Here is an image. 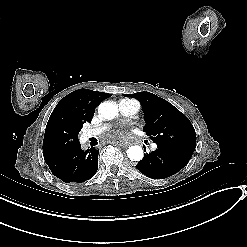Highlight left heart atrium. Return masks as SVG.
Listing matches in <instances>:
<instances>
[{
  "instance_id": "left-heart-atrium-1",
  "label": "left heart atrium",
  "mask_w": 247,
  "mask_h": 247,
  "mask_svg": "<svg viewBox=\"0 0 247 247\" xmlns=\"http://www.w3.org/2000/svg\"><path fill=\"white\" fill-rule=\"evenodd\" d=\"M135 133L124 131L122 128H118L115 130H110L103 132V141L104 144H111L117 147H125L129 139L132 137V135H135Z\"/></svg>"
}]
</instances>
